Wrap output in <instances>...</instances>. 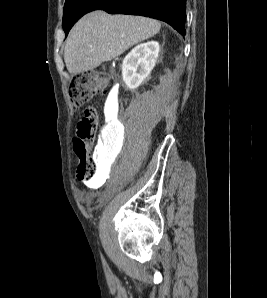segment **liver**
<instances>
[{"instance_id": "obj_1", "label": "liver", "mask_w": 267, "mask_h": 298, "mask_svg": "<svg viewBox=\"0 0 267 298\" xmlns=\"http://www.w3.org/2000/svg\"><path fill=\"white\" fill-rule=\"evenodd\" d=\"M161 24L150 18L110 15L97 10L83 16L68 36L64 60L77 75L120 56L131 46L156 35Z\"/></svg>"}]
</instances>
